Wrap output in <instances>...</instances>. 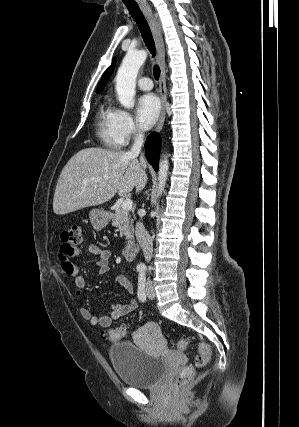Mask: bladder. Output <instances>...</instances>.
<instances>
[{
  "label": "bladder",
  "instance_id": "bladder-1",
  "mask_svg": "<svg viewBox=\"0 0 299 427\" xmlns=\"http://www.w3.org/2000/svg\"><path fill=\"white\" fill-rule=\"evenodd\" d=\"M109 356L119 379L137 388L156 386L168 366L162 357L150 355L130 341L111 345Z\"/></svg>",
  "mask_w": 299,
  "mask_h": 427
}]
</instances>
